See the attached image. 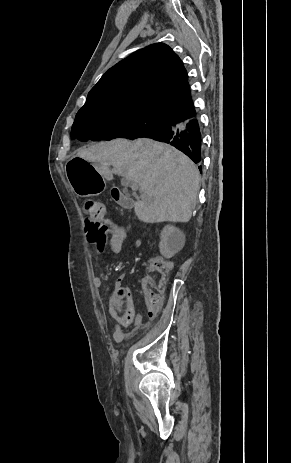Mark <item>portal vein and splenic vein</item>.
Instances as JSON below:
<instances>
[{
	"mask_svg": "<svg viewBox=\"0 0 291 463\" xmlns=\"http://www.w3.org/2000/svg\"><path fill=\"white\" fill-rule=\"evenodd\" d=\"M126 183H130L131 184V189L132 190H137L138 189V184L135 183V182H132V181H129V180H125Z\"/></svg>",
	"mask_w": 291,
	"mask_h": 463,
	"instance_id": "obj_1",
	"label": "portal vein and splenic vein"
}]
</instances>
